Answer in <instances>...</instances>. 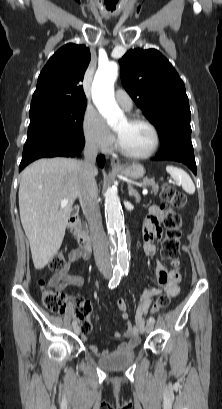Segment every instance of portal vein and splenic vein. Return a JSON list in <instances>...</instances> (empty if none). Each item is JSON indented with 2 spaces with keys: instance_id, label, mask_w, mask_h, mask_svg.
Here are the masks:
<instances>
[{
  "instance_id": "obj_1",
  "label": "portal vein and splenic vein",
  "mask_w": 222,
  "mask_h": 409,
  "mask_svg": "<svg viewBox=\"0 0 222 409\" xmlns=\"http://www.w3.org/2000/svg\"><path fill=\"white\" fill-rule=\"evenodd\" d=\"M142 193H143L144 195H146V194L148 193L147 189H144ZM67 203H68V200H67V199H63V200L61 201V204H62V205H66Z\"/></svg>"
}]
</instances>
